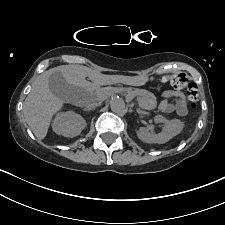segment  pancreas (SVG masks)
<instances>
[{
    "label": "pancreas",
    "mask_w": 225,
    "mask_h": 225,
    "mask_svg": "<svg viewBox=\"0 0 225 225\" xmlns=\"http://www.w3.org/2000/svg\"><path fill=\"white\" fill-rule=\"evenodd\" d=\"M125 91L129 94H134L138 97V103L139 106L144 109V110H153L157 107V99L154 96L153 93L146 91V90H142V89H132V88H126ZM111 91L106 89V88H101L97 90V95L98 96H102L105 97L108 93H110ZM143 94V96L141 97L140 95ZM145 114H147V112L143 111Z\"/></svg>",
    "instance_id": "pancreas-1"
}]
</instances>
